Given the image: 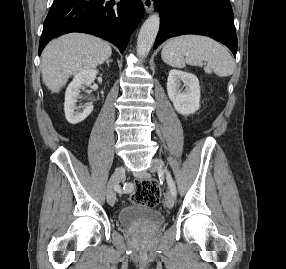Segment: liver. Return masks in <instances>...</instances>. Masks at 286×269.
Here are the masks:
<instances>
[{
  "label": "liver",
  "instance_id": "6515ba94",
  "mask_svg": "<svg viewBox=\"0 0 286 269\" xmlns=\"http://www.w3.org/2000/svg\"><path fill=\"white\" fill-rule=\"evenodd\" d=\"M112 54L103 40L82 33H71L51 41L42 53L44 84L59 92L70 76L102 64Z\"/></svg>",
  "mask_w": 286,
  "mask_h": 269
}]
</instances>
